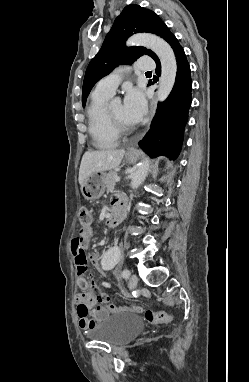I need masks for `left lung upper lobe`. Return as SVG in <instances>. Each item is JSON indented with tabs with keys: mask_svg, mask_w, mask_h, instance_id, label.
Masks as SVG:
<instances>
[{
	"mask_svg": "<svg viewBox=\"0 0 249 382\" xmlns=\"http://www.w3.org/2000/svg\"><path fill=\"white\" fill-rule=\"evenodd\" d=\"M151 32L161 36L168 43L175 37L151 10L139 5H128L115 19L98 54L91 60L86 70L82 90V104L97 81L108 75L120 64H131L142 55H149L155 61L158 57L144 47H126L125 41L134 33Z\"/></svg>",
	"mask_w": 249,
	"mask_h": 382,
	"instance_id": "1",
	"label": "left lung upper lobe"
}]
</instances>
